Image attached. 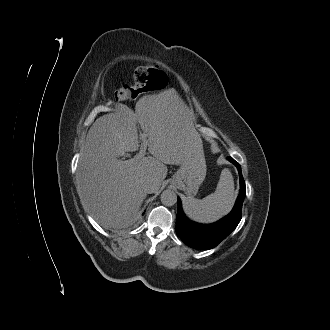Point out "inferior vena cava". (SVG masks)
Masks as SVG:
<instances>
[{
  "mask_svg": "<svg viewBox=\"0 0 330 330\" xmlns=\"http://www.w3.org/2000/svg\"><path fill=\"white\" fill-rule=\"evenodd\" d=\"M157 189V184L154 179H147L144 182V190L146 193H154Z\"/></svg>",
  "mask_w": 330,
  "mask_h": 330,
  "instance_id": "1",
  "label": "inferior vena cava"
}]
</instances>
